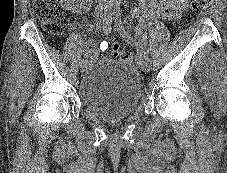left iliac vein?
Here are the masks:
<instances>
[{"instance_id": "1", "label": "left iliac vein", "mask_w": 227, "mask_h": 173, "mask_svg": "<svg viewBox=\"0 0 227 173\" xmlns=\"http://www.w3.org/2000/svg\"><path fill=\"white\" fill-rule=\"evenodd\" d=\"M141 68L145 73H148L150 71L151 68V61L150 59H146L142 64H141Z\"/></svg>"}]
</instances>
